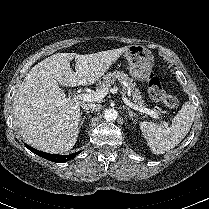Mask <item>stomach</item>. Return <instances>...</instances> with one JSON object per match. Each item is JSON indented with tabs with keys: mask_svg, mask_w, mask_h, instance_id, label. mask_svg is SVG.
Returning a JSON list of instances; mask_svg holds the SVG:
<instances>
[{
	"mask_svg": "<svg viewBox=\"0 0 209 209\" xmlns=\"http://www.w3.org/2000/svg\"><path fill=\"white\" fill-rule=\"evenodd\" d=\"M130 75L140 81H144L150 75L153 68L154 56L152 52L142 45H130L125 51Z\"/></svg>",
	"mask_w": 209,
	"mask_h": 209,
	"instance_id": "0dacf381",
	"label": "stomach"
}]
</instances>
